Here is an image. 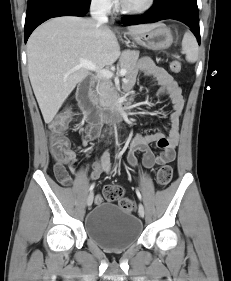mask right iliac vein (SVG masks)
<instances>
[{
	"instance_id": "right-iliac-vein-1",
	"label": "right iliac vein",
	"mask_w": 231,
	"mask_h": 281,
	"mask_svg": "<svg viewBox=\"0 0 231 281\" xmlns=\"http://www.w3.org/2000/svg\"><path fill=\"white\" fill-rule=\"evenodd\" d=\"M93 199H94V195H93V193L91 192V193L88 195V197H87V206L90 207V206L92 205Z\"/></svg>"
}]
</instances>
